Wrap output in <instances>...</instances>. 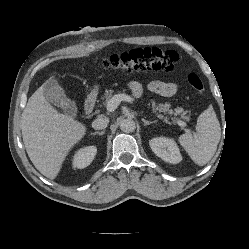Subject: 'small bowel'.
Wrapping results in <instances>:
<instances>
[{
	"label": "small bowel",
	"instance_id": "c3829d8e",
	"mask_svg": "<svg viewBox=\"0 0 249 249\" xmlns=\"http://www.w3.org/2000/svg\"><path fill=\"white\" fill-rule=\"evenodd\" d=\"M129 87L135 97H140L143 93L142 85L137 81H132ZM178 89V85L174 82L152 81L148 85V90L159 94L163 97L173 96Z\"/></svg>",
	"mask_w": 249,
	"mask_h": 249
}]
</instances>
